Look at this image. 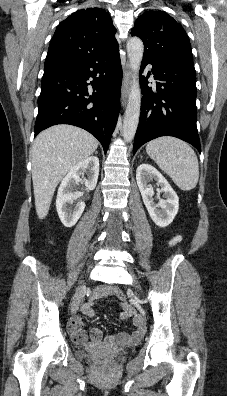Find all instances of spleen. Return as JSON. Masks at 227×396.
Wrapping results in <instances>:
<instances>
[{"label": "spleen", "instance_id": "spleen-1", "mask_svg": "<svg viewBox=\"0 0 227 396\" xmlns=\"http://www.w3.org/2000/svg\"><path fill=\"white\" fill-rule=\"evenodd\" d=\"M146 152L181 190L195 188L199 179L198 159L187 143L174 137H160L147 144Z\"/></svg>", "mask_w": 227, "mask_h": 396}]
</instances>
